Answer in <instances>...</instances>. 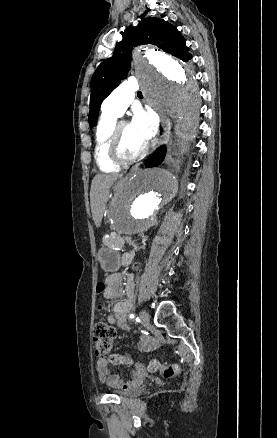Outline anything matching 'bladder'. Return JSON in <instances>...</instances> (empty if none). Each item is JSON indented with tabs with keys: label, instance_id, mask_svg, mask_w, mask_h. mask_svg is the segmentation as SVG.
Segmentation results:
<instances>
[{
	"label": "bladder",
	"instance_id": "31cf9c89",
	"mask_svg": "<svg viewBox=\"0 0 277 438\" xmlns=\"http://www.w3.org/2000/svg\"><path fill=\"white\" fill-rule=\"evenodd\" d=\"M140 383H142V381L131 382L126 386V389L118 390L116 393L122 398L134 397L139 391Z\"/></svg>",
	"mask_w": 277,
	"mask_h": 438
}]
</instances>
